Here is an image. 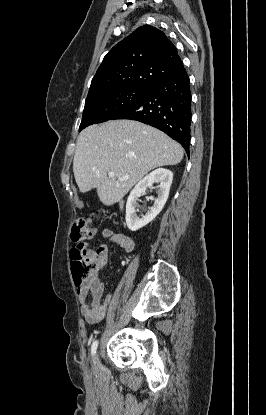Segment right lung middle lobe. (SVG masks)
<instances>
[{"label":"right lung middle lobe","mask_w":266,"mask_h":415,"mask_svg":"<svg viewBox=\"0 0 266 415\" xmlns=\"http://www.w3.org/2000/svg\"><path fill=\"white\" fill-rule=\"evenodd\" d=\"M149 89L120 87L89 95L79 130L110 120L115 114L143 99Z\"/></svg>","instance_id":"obj_1"}]
</instances>
